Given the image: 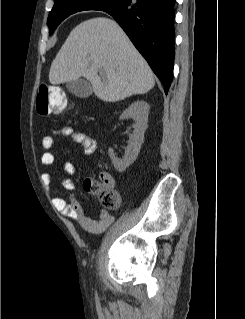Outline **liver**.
Here are the masks:
<instances>
[{"label":"liver","instance_id":"liver-1","mask_svg":"<svg viewBox=\"0 0 245 319\" xmlns=\"http://www.w3.org/2000/svg\"><path fill=\"white\" fill-rule=\"evenodd\" d=\"M103 70L101 76L98 71ZM86 78L95 95L117 102L150 91L153 72L116 21L94 17L69 34L53 60L49 81L53 85Z\"/></svg>","mask_w":245,"mask_h":319}]
</instances>
